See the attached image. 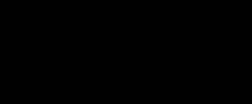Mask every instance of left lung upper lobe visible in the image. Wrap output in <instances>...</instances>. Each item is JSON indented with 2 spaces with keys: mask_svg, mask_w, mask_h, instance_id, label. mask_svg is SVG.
<instances>
[{
  "mask_svg": "<svg viewBox=\"0 0 252 104\" xmlns=\"http://www.w3.org/2000/svg\"><path fill=\"white\" fill-rule=\"evenodd\" d=\"M205 74H215V69L211 60L209 59V56L207 55V52L201 50V48H197L192 65L182 72L178 78L193 77Z\"/></svg>",
  "mask_w": 252,
  "mask_h": 104,
  "instance_id": "left-lung-upper-lobe-1",
  "label": "left lung upper lobe"
}]
</instances>
